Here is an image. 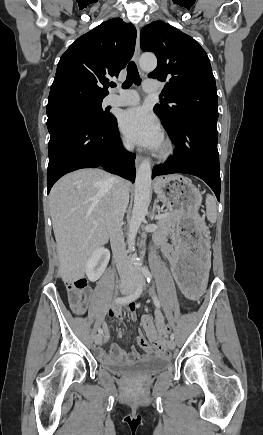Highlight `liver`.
Returning <instances> with one entry per match:
<instances>
[{"label": "liver", "instance_id": "6515ba94", "mask_svg": "<svg viewBox=\"0 0 263 435\" xmlns=\"http://www.w3.org/2000/svg\"><path fill=\"white\" fill-rule=\"evenodd\" d=\"M111 178L100 169H83L64 176L51 189L50 212L64 282L84 277L93 251L108 242Z\"/></svg>", "mask_w": 263, "mask_h": 435}]
</instances>
